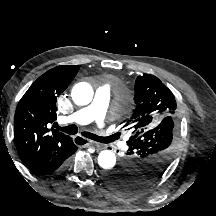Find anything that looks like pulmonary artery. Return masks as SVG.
Listing matches in <instances>:
<instances>
[{
  "label": "pulmonary artery",
  "instance_id": "e3ab8cb5",
  "mask_svg": "<svg viewBox=\"0 0 216 216\" xmlns=\"http://www.w3.org/2000/svg\"><path fill=\"white\" fill-rule=\"evenodd\" d=\"M111 88L108 85L96 89L93 101L66 117L67 123L88 124L96 121L106 123V110L109 104Z\"/></svg>",
  "mask_w": 216,
  "mask_h": 216
}]
</instances>
